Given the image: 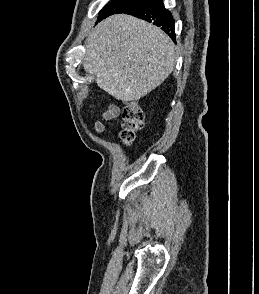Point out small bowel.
I'll return each instance as SVG.
<instances>
[{
    "mask_svg": "<svg viewBox=\"0 0 259 294\" xmlns=\"http://www.w3.org/2000/svg\"><path fill=\"white\" fill-rule=\"evenodd\" d=\"M120 115V109L117 105H109L106 111L102 114L101 118L97 119L94 123L95 132L102 135L106 131V123L108 121L117 120Z\"/></svg>",
    "mask_w": 259,
    "mask_h": 294,
    "instance_id": "c3829d8e",
    "label": "small bowel"
}]
</instances>
